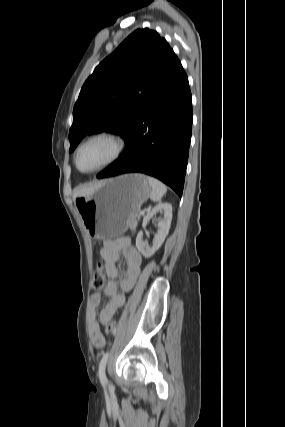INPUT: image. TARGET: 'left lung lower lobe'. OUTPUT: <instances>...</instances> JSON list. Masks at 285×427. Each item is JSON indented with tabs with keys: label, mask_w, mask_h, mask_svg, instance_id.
Returning <instances> with one entry per match:
<instances>
[{
	"label": "left lung lower lobe",
	"mask_w": 285,
	"mask_h": 427,
	"mask_svg": "<svg viewBox=\"0 0 285 427\" xmlns=\"http://www.w3.org/2000/svg\"><path fill=\"white\" fill-rule=\"evenodd\" d=\"M191 131L192 97L188 78L172 51L126 140L123 156L97 178L144 173L169 185L181 197Z\"/></svg>",
	"instance_id": "1"
}]
</instances>
